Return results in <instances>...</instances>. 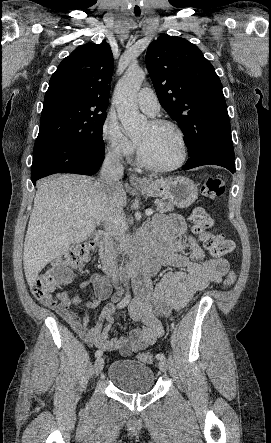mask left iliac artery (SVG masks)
<instances>
[{
	"label": "left iliac artery",
	"mask_w": 271,
	"mask_h": 443,
	"mask_svg": "<svg viewBox=\"0 0 271 443\" xmlns=\"http://www.w3.org/2000/svg\"><path fill=\"white\" fill-rule=\"evenodd\" d=\"M156 358H157L158 360H162V359H165V355L162 354V353H159V354L156 355Z\"/></svg>",
	"instance_id": "1"
}]
</instances>
